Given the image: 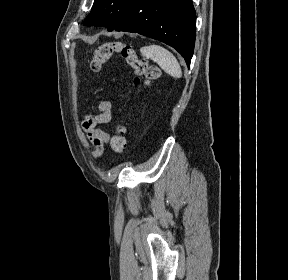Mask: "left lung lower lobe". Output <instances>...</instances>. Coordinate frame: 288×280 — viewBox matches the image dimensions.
Returning <instances> with one entry per match:
<instances>
[{
  "mask_svg": "<svg viewBox=\"0 0 288 280\" xmlns=\"http://www.w3.org/2000/svg\"><path fill=\"white\" fill-rule=\"evenodd\" d=\"M113 30L162 41L175 48L190 66L196 36L192 0H138Z\"/></svg>",
  "mask_w": 288,
  "mask_h": 280,
  "instance_id": "0a47b994",
  "label": "left lung lower lobe"
}]
</instances>
